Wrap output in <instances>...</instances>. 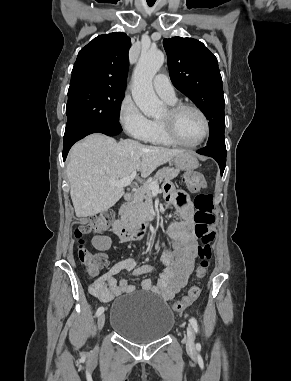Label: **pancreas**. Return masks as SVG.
<instances>
[{
    "label": "pancreas",
    "instance_id": "1",
    "mask_svg": "<svg viewBox=\"0 0 291 381\" xmlns=\"http://www.w3.org/2000/svg\"><path fill=\"white\" fill-rule=\"evenodd\" d=\"M178 174L179 170L165 167L156 172L152 182H167L174 179ZM151 201L152 191L147 187L143 186L136 191L133 201L127 205V211L122 215L129 227L137 228L146 221Z\"/></svg>",
    "mask_w": 291,
    "mask_h": 381
}]
</instances>
